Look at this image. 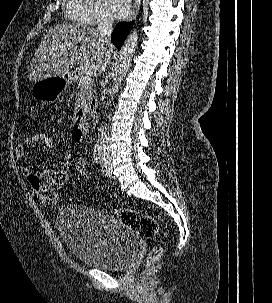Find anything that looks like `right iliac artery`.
<instances>
[{"instance_id":"1","label":"right iliac artery","mask_w":272,"mask_h":303,"mask_svg":"<svg viewBox=\"0 0 272 303\" xmlns=\"http://www.w3.org/2000/svg\"><path fill=\"white\" fill-rule=\"evenodd\" d=\"M101 146L96 145L94 148L93 158L96 163H101Z\"/></svg>"}]
</instances>
